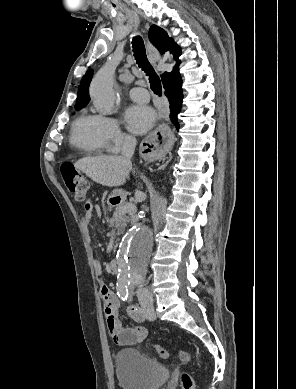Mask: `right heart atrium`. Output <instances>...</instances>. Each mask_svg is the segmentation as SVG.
Masks as SVG:
<instances>
[{"mask_svg":"<svg viewBox=\"0 0 296 389\" xmlns=\"http://www.w3.org/2000/svg\"><path fill=\"white\" fill-rule=\"evenodd\" d=\"M103 127L108 148L111 151L121 150L130 141V137L121 129L117 119L104 117Z\"/></svg>","mask_w":296,"mask_h":389,"instance_id":"1","label":"right heart atrium"}]
</instances>
